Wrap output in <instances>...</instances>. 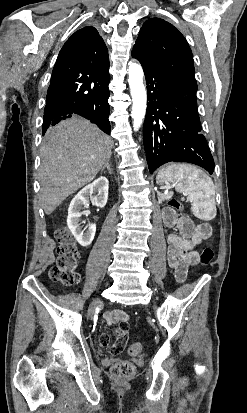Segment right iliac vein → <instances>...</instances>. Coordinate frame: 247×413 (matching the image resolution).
Here are the masks:
<instances>
[{
  "mask_svg": "<svg viewBox=\"0 0 247 413\" xmlns=\"http://www.w3.org/2000/svg\"><path fill=\"white\" fill-rule=\"evenodd\" d=\"M100 303H101V301H100L99 299H97V300H95V301L90 305L89 310H88L89 316H92V315H93L96 306H97L98 304H100Z\"/></svg>",
  "mask_w": 247,
  "mask_h": 413,
  "instance_id": "63e3f726",
  "label": "right iliac vein"
}]
</instances>
